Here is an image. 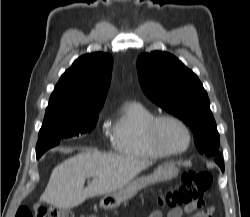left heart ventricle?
<instances>
[{
    "instance_id": "b2bd125f",
    "label": "left heart ventricle",
    "mask_w": 250,
    "mask_h": 217,
    "mask_svg": "<svg viewBox=\"0 0 250 217\" xmlns=\"http://www.w3.org/2000/svg\"><path fill=\"white\" fill-rule=\"evenodd\" d=\"M160 134L163 142L172 149H182L187 143L184 131L176 124L165 122L161 125Z\"/></svg>"
}]
</instances>
